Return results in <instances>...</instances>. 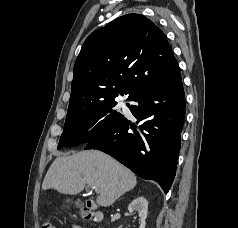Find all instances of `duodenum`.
I'll list each match as a JSON object with an SVG mask.
<instances>
[{"instance_id": "obj_1", "label": "duodenum", "mask_w": 238, "mask_h": 228, "mask_svg": "<svg viewBox=\"0 0 238 228\" xmlns=\"http://www.w3.org/2000/svg\"><path fill=\"white\" fill-rule=\"evenodd\" d=\"M87 206L88 208L95 210L94 205L90 201L87 202ZM95 217L97 220H101L103 218V213L100 210H95Z\"/></svg>"}]
</instances>
